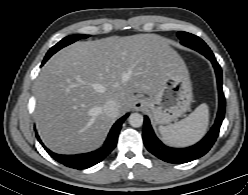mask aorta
<instances>
[{
  "label": "aorta",
  "mask_w": 248,
  "mask_h": 195,
  "mask_svg": "<svg viewBox=\"0 0 248 195\" xmlns=\"http://www.w3.org/2000/svg\"><path fill=\"white\" fill-rule=\"evenodd\" d=\"M143 120V116L139 113H132L128 119L129 124L135 128L141 127L143 124Z\"/></svg>",
  "instance_id": "obj_1"
}]
</instances>
